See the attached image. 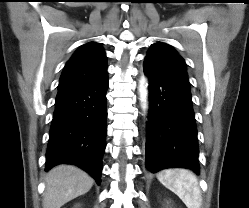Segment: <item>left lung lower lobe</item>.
Returning a JSON list of instances; mask_svg holds the SVG:
<instances>
[{
  "mask_svg": "<svg viewBox=\"0 0 249 208\" xmlns=\"http://www.w3.org/2000/svg\"><path fill=\"white\" fill-rule=\"evenodd\" d=\"M149 110L146 125V169L186 168L199 174L198 139L187 74L146 59Z\"/></svg>",
  "mask_w": 249,
  "mask_h": 208,
  "instance_id": "left-lung-lower-lobe-1",
  "label": "left lung lower lobe"
}]
</instances>
